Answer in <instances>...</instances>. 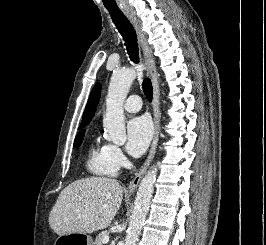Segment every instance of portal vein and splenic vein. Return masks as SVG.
Here are the masks:
<instances>
[{"label":"portal vein and splenic vein","mask_w":266,"mask_h":245,"mask_svg":"<svg viewBox=\"0 0 266 245\" xmlns=\"http://www.w3.org/2000/svg\"><path fill=\"white\" fill-rule=\"evenodd\" d=\"M110 237H103V243H108Z\"/></svg>","instance_id":"1"}]
</instances>
